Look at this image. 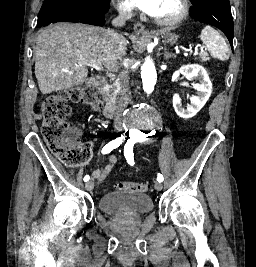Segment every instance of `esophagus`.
Instances as JSON below:
<instances>
[{
	"mask_svg": "<svg viewBox=\"0 0 256 267\" xmlns=\"http://www.w3.org/2000/svg\"><path fill=\"white\" fill-rule=\"evenodd\" d=\"M134 33L136 35H139V34L146 35L147 34V32L144 29V25L142 23H135L134 24Z\"/></svg>",
	"mask_w": 256,
	"mask_h": 267,
	"instance_id": "1",
	"label": "esophagus"
}]
</instances>
